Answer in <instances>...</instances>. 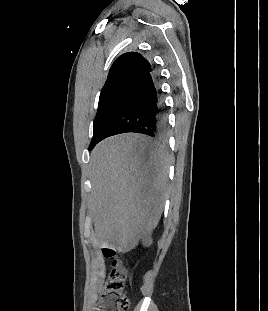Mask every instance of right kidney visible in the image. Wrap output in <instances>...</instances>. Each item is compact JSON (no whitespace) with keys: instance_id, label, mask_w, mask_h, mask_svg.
Here are the masks:
<instances>
[{"instance_id":"obj_1","label":"right kidney","mask_w":268,"mask_h":311,"mask_svg":"<svg viewBox=\"0 0 268 311\" xmlns=\"http://www.w3.org/2000/svg\"><path fill=\"white\" fill-rule=\"evenodd\" d=\"M152 243V239L150 236L145 235V238L143 239V245L147 246Z\"/></svg>"}]
</instances>
